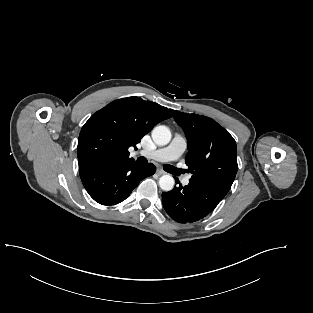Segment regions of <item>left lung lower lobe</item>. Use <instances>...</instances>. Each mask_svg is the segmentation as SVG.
<instances>
[{
	"label": "left lung lower lobe",
	"instance_id": "obj_1",
	"mask_svg": "<svg viewBox=\"0 0 313 313\" xmlns=\"http://www.w3.org/2000/svg\"><path fill=\"white\" fill-rule=\"evenodd\" d=\"M224 196L220 191L189 181L184 187L180 184L162 193V202L172 219L179 223H192L212 212Z\"/></svg>",
	"mask_w": 313,
	"mask_h": 313
}]
</instances>
